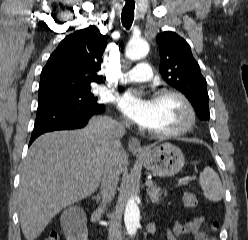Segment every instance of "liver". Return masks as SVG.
<instances>
[{"instance_id": "6515ba94", "label": "liver", "mask_w": 248, "mask_h": 240, "mask_svg": "<svg viewBox=\"0 0 248 240\" xmlns=\"http://www.w3.org/2000/svg\"><path fill=\"white\" fill-rule=\"evenodd\" d=\"M109 117H93L81 130L55 131L38 137L24 160L18 190L21 229L35 240L65 207L98 188L107 154ZM119 174L127 162L122 149L114 153Z\"/></svg>"}]
</instances>
